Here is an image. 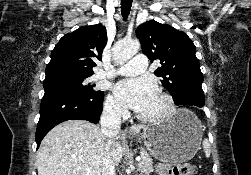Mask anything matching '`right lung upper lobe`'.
<instances>
[{"instance_id":"right-lung-upper-lobe-1","label":"right lung upper lobe","mask_w":251,"mask_h":175,"mask_svg":"<svg viewBox=\"0 0 251 175\" xmlns=\"http://www.w3.org/2000/svg\"><path fill=\"white\" fill-rule=\"evenodd\" d=\"M106 44V28L102 24L83 26L64 35L52 50L45 78L91 76L94 60H101Z\"/></svg>"}]
</instances>
